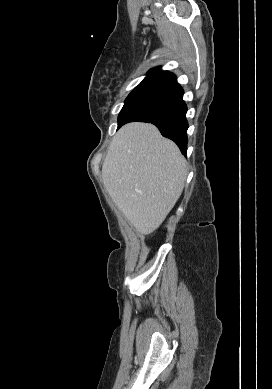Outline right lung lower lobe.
Segmentation results:
<instances>
[{"instance_id":"right-lung-lower-lobe-1","label":"right lung lower lobe","mask_w":272,"mask_h":389,"mask_svg":"<svg viewBox=\"0 0 272 389\" xmlns=\"http://www.w3.org/2000/svg\"><path fill=\"white\" fill-rule=\"evenodd\" d=\"M183 93L177 81L162 87L136 105L118 124V129L133 121L152 123L159 128L162 136L173 140L185 155L188 122Z\"/></svg>"}]
</instances>
